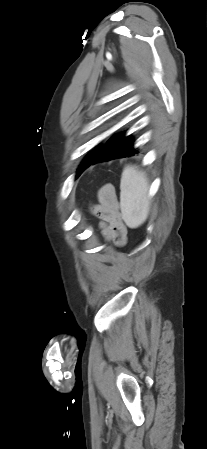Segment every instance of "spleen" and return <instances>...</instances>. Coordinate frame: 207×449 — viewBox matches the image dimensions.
Masks as SVG:
<instances>
[{
    "label": "spleen",
    "instance_id": "1",
    "mask_svg": "<svg viewBox=\"0 0 207 449\" xmlns=\"http://www.w3.org/2000/svg\"><path fill=\"white\" fill-rule=\"evenodd\" d=\"M120 190L123 220L130 228L141 226L150 212L148 178L135 166L128 165L123 169Z\"/></svg>",
    "mask_w": 207,
    "mask_h": 449
}]
</instances>
